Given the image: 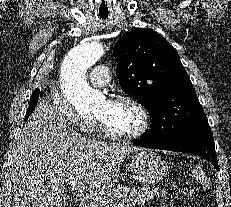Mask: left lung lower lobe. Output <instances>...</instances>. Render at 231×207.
<instances>
[{
    "mask_svg": "<svg viewBox=\"0 0 231 207\" xmlns=\"http://www.w3.org/2000/svg\"><path fill=\"white\" fill-rule=\"evenodd\" d=\"M133 143L147 148L192 153L208 160L218 170L214 138L211 131H196L164 143L152 142L141 136L140 139L133 140Z\"/></svg>",
    "mask_w": 231,
    "mask_h": 207,
    "instance_id": "obj_1",
    "label": "left lung lower lobe"
}]
</instances>
